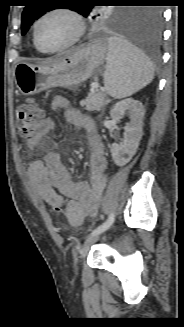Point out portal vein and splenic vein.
Wrapping results in <instances>:
<instances>
[{
    "mask_svg": "<svg viewBox=\"0 0 184 327\" xmlns=\"http://www.w3.org/2000/svg\"><path fill=\"white\" fill-rule=\"evenodd\" d=\"M100 86L98 83H93L92 86H91V91H94L96 89H98Z\"/></svg>",
    "mask_w": 184,
    "mask_h": 327,
    "instance_id": "18ae733b",
    "label": "portal vein and splenic vein"
}]
</instances>
